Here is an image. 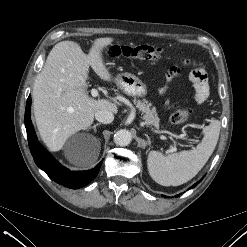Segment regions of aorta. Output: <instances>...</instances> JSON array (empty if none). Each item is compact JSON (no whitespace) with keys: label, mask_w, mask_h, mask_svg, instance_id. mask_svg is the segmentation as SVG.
<instances>
[{"label":"aorta","mask_w":247,"mask_h":247,"mask_svg":"<svg viewBox=\"0 0 247 247\" xmlns=\"http://www.w3.org/2000/svg\"><path fill=\"white\" fill-rule=\"evenodd\" d=\"M113 139L116 145L123 147L130 144V142L132 141V135L131 132H129L128 130L121 129L114 134Z\"/></svg>","instance_id":"1"}]
</instances>
